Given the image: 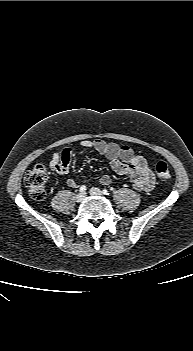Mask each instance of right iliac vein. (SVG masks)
<instances>
[{
    "label": "right iliac vein",
    "mask_w": 193,
    "mask_h": 351,
    "mask_svg": "<svg viewBox=\"0 0 193 351\" xmlns=\"http://www.w3.org/2000/svg\"><path fill=\"white\" fill-rule=\"evenodd\" d=\"M86 197V194L85 193H79L77 196H76V201L77 202H82Z\"/></svg>",
    "instance_id": "63e3f726"
}]
</instances>
